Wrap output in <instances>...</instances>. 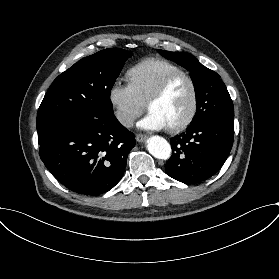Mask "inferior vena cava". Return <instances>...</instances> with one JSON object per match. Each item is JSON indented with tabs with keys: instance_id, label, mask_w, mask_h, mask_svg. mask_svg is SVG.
Wrapping results in <instances>:
<instances>
[{
	"instance_id": "1",
	"label": "inferior vena cava",
	"mask_w": 279,
	"mask_h": 279,
	"mask_svg": "<svg viewBox=\"0 0 279 279\" xmlns=\"http://www.w3.org/2000/svg\"><path fill=\"white\" fill-rule=\"evenodd\" d=\"M133 117H128L127 115L122 116L120 122L125 125V124H129L133 121Z\"/></svg>"
}]
</instances>
